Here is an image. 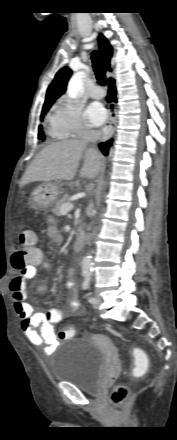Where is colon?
<instances>
[{"label": "colon", "mask_w": 177, "mask_h": 440, "mask_svg": "<svg viewBox=\"0 0 177 440\" xmlns=\"http://www.w3.org/2000/svg\"><path fill=\"white\" fill-rule=\"evenodd\" d=\"M36 236L31 231H22L18 234L12 254V265L18 270H23L31 265L38 258V250L34 248ZM74 336V329L71 326H65L60 329L58 338L60 340H68ZM136 358V368L134 373L141 375L147 368L148 362L145 355L139 351H134ZM128 390L125 386H119L113 394V402L115 404L121 403L127 396Z\"/></svg>", "instance_id": "5ec220e1"}]
</instances>
